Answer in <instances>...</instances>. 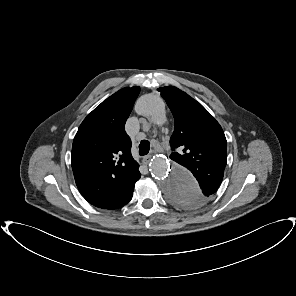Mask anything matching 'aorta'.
Returning <instances> with one entry per match:
<instances>
[{
    "label": "aorta",
    "mask_w": 296,
    "mask_h": 296,
    "mask_svg": "<svg viewBox=\"0 0 296 296\" xmlns=\"http://www.w3.org/2000/svg\"><path fill=\"white\" fill-rule=\"evenodd\" d=\"M136 111L156 125L167 121L165 104L157 95L141 96L136 103ZM150 170L171 204L183 206L193 199L198 185L192 174L177 161L157 155L150 163Z\"/></svg>",
    "instance_id": "obj_1"
}]
</instances>
